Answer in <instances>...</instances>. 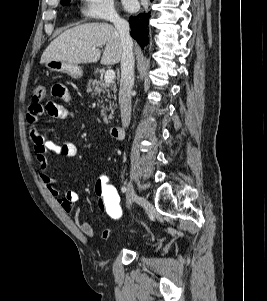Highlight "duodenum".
Wrapping results in <instances>:
<instances>
[{"label": "duodenum", "mask_w": 267, "mask_h": 301, "mask_svg": "<svg viewBox=\"0 0 267 301\" xmlns=\"http://www.w3.org/2000/svg\"><path fill=\"white\" fill-rule=\"evenodd\" d=\"M122 132H123V128H122V126H120V125L113 126V127L110 129V135H111V137L114 138V139L120 138L121 135H122Z\"/></svg>", "instance_id": "obj_1"}]
</instances>
